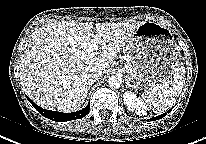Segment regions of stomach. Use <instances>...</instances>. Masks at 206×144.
<instances>
[{"label":"stomach","instance_id":"0dacf381","mask_svg":"<svg viewBox=\"0 0 206 144\" xmlns=\"http://www.w3.org/2000/svg\"><path fill=\"white\" fill-rule=\"evenodd\" d=\"M133 75L130 80L139 89L165 82L179 66V48L169 28L156 22H143L126 45Z\"/></svg>","mask_w":206,"mask_h":144}]
</instances>
